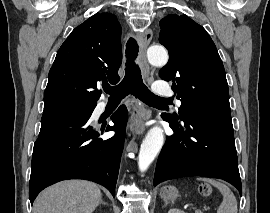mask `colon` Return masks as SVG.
<instances>
[{
	"label": "colon",
	"instance_id": "5ec220e1",
	"mask_svg": "<svg viewBox=\"0 0 270 213\" xmlns=\"http://www.w3.org/2000/svg\"><path fill=\"white\" fill-rule=\"evenodd\" d=\"M199 192L203 196H209L211 194V187L209 185H206V184L201 185L199 187Z\"/></svg>",
	"mask_w": 270,
	"mask_h": 213
}]
</instances>
